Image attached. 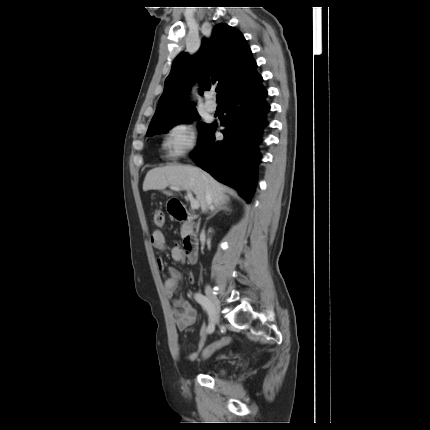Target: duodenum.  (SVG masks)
Returning a JSON list of instances; mask_svg holds the SVG:
<instances>
[{
    "instance_id": "obj_1",
    "label": "duodenum",
    "mask_w": 430,
    "mask_h": 430,
    "mask_svg": "<svg viewBox=\"0 0 430 430\" xmlns=\"http://www.w3.org/2000/svg\"><path fill=\"white\" fill-rule=\"evenodd\" d=\"M173 217L181 222H186L191 218L187 208L181 203H175L172 208ZM198 241L192 234H187L183 241V250L187 260L194 263L198 256Z\"/></svg>"
}]
</instances>
